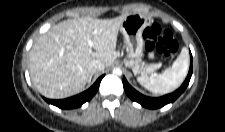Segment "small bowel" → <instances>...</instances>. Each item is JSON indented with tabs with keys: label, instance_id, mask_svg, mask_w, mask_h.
<instances>
[{
	"label": "small bowel",
	"instance_id": "c3829d8e",
	"mask_svg": "<svg viewBox=\"0 0 225 132\" xmlns=\"http://www.w3.org/2000/svg\"><path fill=\"white\" fill-rule=\"evenodd\" d=\"M149 56L152 58L153 57V53L152 52H149Z\"/></svg>",
	"mask_w": 225,
	"mask_h": 132
}]
</instances>
